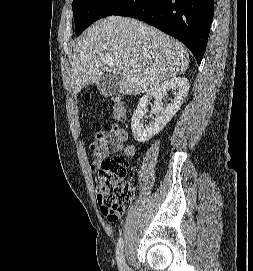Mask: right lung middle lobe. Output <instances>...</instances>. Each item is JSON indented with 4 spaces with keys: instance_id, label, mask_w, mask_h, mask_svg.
Wrapping results in <instances>:
<instances>
[{
    "instance_id": "obj_1",
    "label": "right lung middle lobe",
    "mask_w": 253,
    "mask_h": 271,
    "mask_svg": "<svg viewBox=\"0 0 253 271\" xmlns=\"http://www.w3.org/2000/svg\"><path fill=\"white\" fill-rule=\"evenodd\" d=\"M127 0H73L76 35L96 20L113 15Z\"/></svg>"
}]
</instances>
